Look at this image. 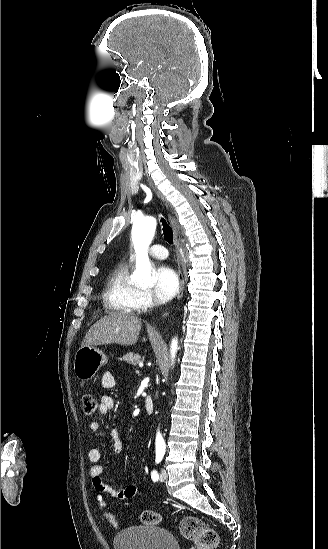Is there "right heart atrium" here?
Instances as JSON below:
<instances>
[{"mask_svg":"<svg viewBox=\"0 0 328 549\" xmlns=\"http://www.w3.org/2000/svg\"><path fill=\"white\" fill-rule=\"evenodd\" d=\"M143 297L146 303H160V300L155 297L152 291L146 290L143 292Z\"/></svg>","mask_w":328,"mask_h":549,"instance_id":"right-heart-atrium-1","label":"right heart atrium"}]
</instances>
